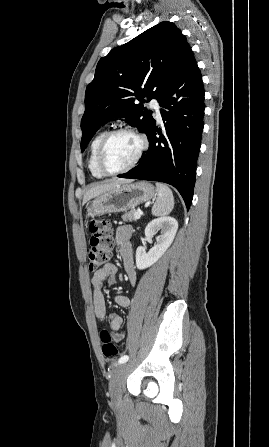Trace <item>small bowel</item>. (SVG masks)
I'll return each instance as SVG.
<instances>
[{
	"label": "small bowel",
	"mask_w": 269,
	"mask_h": 447,
	"mask_svg": "<svg viewBox=\"0 0 269 447\" xmlns=\"http://www.w3.org/2000/svg\"><path fill=\"white\" fill-rule=\"evenodd\" d=\"M131 236V228L128 226H121L117 229L116 238L120 245V256L123 260L124 268L128 279L132 285H136L137 276L134 267V260L132 255V248L129 243ZM117 266L113 263L104 265L96 270L91 278V286L93 290V306L94 312L98 319H109L111 328L113 330V339L115 342H122L125 334L120 330L123 324L122 316L118 314H108L106 308L105 285H114L117 281ZM114 302L121 307H129L130 299L122 294L113 296Z\"/></svg>",
	"instance_id": "small-bowel-1"
}]
</instances>
